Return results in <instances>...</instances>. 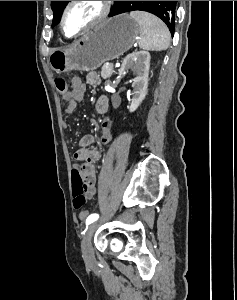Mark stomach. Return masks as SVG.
Instances as JSON below:
<instances>
[{"label": "stomach", "mask_w": 237, "mask_h": 300, "mask_svg": "<svg viewBox=\"0 0 237 300\" xmlns=\"http://www.w3.org/2000/svg\"><path fill=\"white\" fill-rule=\"evenodd\" d=\"M139 35L140 27L130 15H117L96 25L69 49H54L48 63L56 73L94 71L131 49Z\"/></svg>", "instance_id": "1"}]
</instances>
